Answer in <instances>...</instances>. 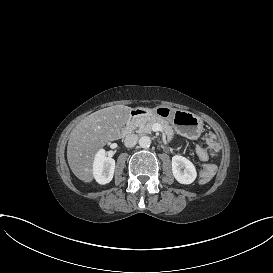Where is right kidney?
<instances>
[{
	"instance_id": "1",
	"label": "right kidney",
	"mask_w": 273,
	"mask_h": 273,
	"mask_svg": "<svg viewBox=\"0 0 273 273\" xmlns=\"http://www.w3.org/2000/svg\"><path fill=\"white\" fill-rule=\"evenodd\" d=\"M115 171V160L106 157L104 150H101L94 162V176L100 184L112 181Z\"/></svg>"
}]
</instances>
